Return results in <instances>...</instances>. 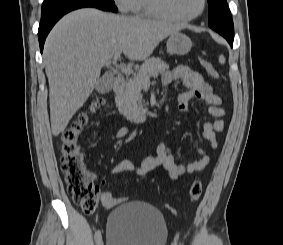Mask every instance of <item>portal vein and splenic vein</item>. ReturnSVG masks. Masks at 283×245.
<instances>
[{
	"mask_svg": "<svg viewBox=\"0 0 283 245\" xmlns=\"http://www.w3.org/2000/svg\"><path fill=\"white\" fill-rule=\"evenodd\" d=\"M120 57V53H117L112 61V64L118 68L122 73H126V74H133L134 76L136 75L132 68L126 67L124 65H118L117 64V59ZM110 63H107V65ZM145 84H148L150 82L149 78H145L144 79Z\"/></svg>",
	"mask_w": 283,
	"mask_h": 245,
	"instance_id": "1",
	"label": "portal vein and splenic vein"
}]
</instances>
